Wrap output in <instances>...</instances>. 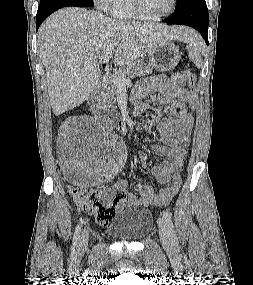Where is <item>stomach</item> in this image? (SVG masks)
<instances>
[{"instance_id": "stomach-1", "label": "stomach", "mask_w": 253, "mask_h": 285, "mask_svg": "<svg viewBox=\"0 0 253 285\" xmlns=\"http://www.w3.org/2000/svg\"><path fill=\"white\" fill-rule=\"evenodd\" d=\"M147 53L150 67L161 72L174 69L181 59L178 47L171 41L157 43Z\"/></svg>"}]
</instances>
